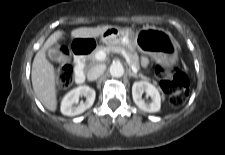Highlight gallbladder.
<instances>
[{"label":"gallbladder","mask_w":225,"mask_h":155,"mask_svg":"<svg viewBox=\"0 0 225 155\" xmlns=\"http://www.w3.org/2000/svg\"><path fill=\"white\" fill-rule=\"evenodd\" d=\"M47 56L50 60L55 62H63L67 60V57L55 47H49L47 49Z\"/></svg>","instance_id":"gallbladder-1"}]
</instances>
